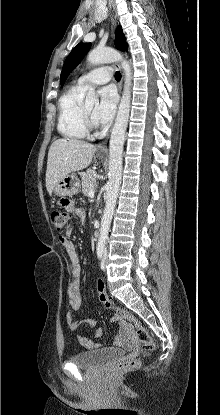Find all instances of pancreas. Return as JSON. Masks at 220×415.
Segmentation results:
<instances>
[{"mask_svg": "<svg viewBox=\"0 0 220 415\" xmlns=\"http://www.w3.org/2000/svg\"><path fill=\"white\" fill-rule=\"evenodd\" d=\"M80 176L82 179V191L85 196H88L89 191L96 186V179L91 171L81 172Z\"/></svg>", "mask_w": 220, "mask_h": 415, "instance_id": "pancreas-1", "label": "pancreas"}]
</instances>
